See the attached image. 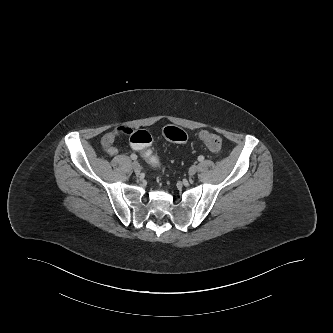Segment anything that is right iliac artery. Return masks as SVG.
Returning a JSON list of instances; mask_svg holds the SVG:
<instances>
[{
	"mask_svg": "<svg viewBox=\"0 0 333 333\" xmlns=\"http://www.w3.org/2000/svg\"><path fill=\"white\" fill-rule=\"evenodd\" d=\"M130 157H131L132 160H136L137 159V155H135V154H131Z\"/></svg>",
	"mask_w": 333,
	"mask_h": 333,
	"instance_id": "1",
	"label": "right iliac artery"
}]
</instances>
